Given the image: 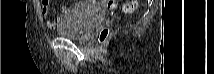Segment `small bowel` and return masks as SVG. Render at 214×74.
I'll list each match as a JSON object with an SVG mask.
<instances>
[{"instance_id": "c3829d8e", "label": "small bowel", "mask_w": 214, "mask_h": 74, "mask_svg": "<svg viewBox=\"0 0 214 74\" xmlns=\"http://www.w3.org/2000/svg\"><path fill=\"white\" fill-rule=\"evenodd\" d=\"M41 10L43 19L45 21V24L48 28L55 30L58 26V24L61 22L62 17L61 16H51L50 14V5L51 1L49 0H42L41 2ZM61 13L64 14L67 12L66 7H61L60 9Z\"/></svg>"}]
</instances>
